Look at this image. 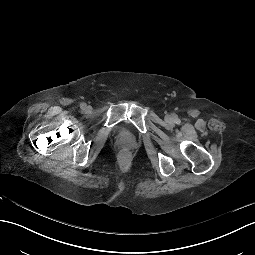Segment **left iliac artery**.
Listing matches in <instances>:
<instances>
[{
    "mask_svg": "<svg viewBox=\"0 0 255 255\" xmlns=\"http://www.w3.org/2000/svg\"><path fill=\"white\" fill-rule=\"evenodd\" d=\"M176 123H180V119L176 118L175 119Z\"/></svg>",
    "mask_w": 255,
    "mask_h": 255,
    "instance_id": "1",
    "label": "left iliac artery"
}]
</instances>
